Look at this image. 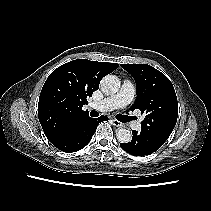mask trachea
I'll use <instances>...</instances> for the list:
<instances>
[{
	"instance_id": "trachea-1",
	"label": "trachea",
	"mask_w": 211,
	"mask_h": 211,
	"mask_svg": "<svg viewBox=\"0 0 211 211\" xmlns=\"http://www.w3.org/2000/svg\"><path fill=\"white\" fill-rule=\"evenodd\" d=\"M90 114L92 117H98V115H99L98 112H96L95 110L91 111ZM116 118L120 122H127V121L131 120V117L125 116V115H117Z\"/></svg>"
}]
</instances>
